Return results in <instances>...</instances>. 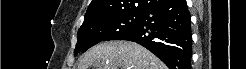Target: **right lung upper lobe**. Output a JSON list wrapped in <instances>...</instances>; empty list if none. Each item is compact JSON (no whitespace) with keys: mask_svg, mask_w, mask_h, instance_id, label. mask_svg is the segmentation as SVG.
<instances>
[{"mask_svg":"<svg viewBox=\"0 0 246 69\" xmlns=\"http://www.w3.org/2000/svg\"><path fill=\"white\" fill-rule=\"evenodd\" d=\"M164 0H92L84 22L122 14H143Z\"/></svg>","mask_w":246,"mask_h":69,"instance_id":"1","label":"right lung upper lobe"}]
</instances>
